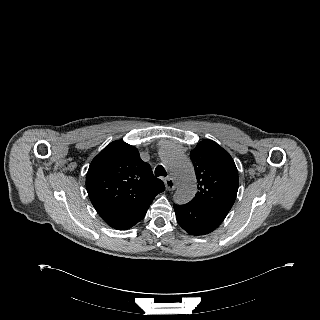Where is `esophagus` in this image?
<instances>
[{"label":"esophagus","mask_w":320,"mask_h":320,"mask_svg":"<svg viewBox=\"0 0 320 320\" xmlns=\"http://www.w3.org/2000/svg\"><path fill=\"white\" fill-rule=\"evenodd\" d=\"M165 187L168 191H173L175 190L176 188V184H175V181L171 178V177H168L166 180H165Z\"/></svg>","instance_id":"1"}]
</instances>
